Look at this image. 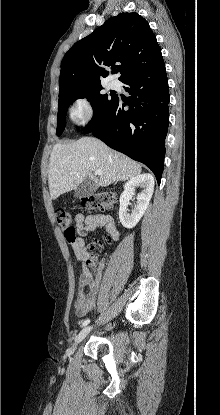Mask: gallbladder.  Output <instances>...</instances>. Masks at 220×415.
<instances>
[{
  "label": "gallbladder",
  "instance_id": "obj_1",
  "mask_svg": "<svg viewBox=\"0 0 220 415\" xmlns=\"http://www.w3.org/2000/svg\"><path fill=\"white\" fill-rule=\"evenodd\" d=\"M97 189L96 183L87 178L76 189L74 196L77 198H84L92 195Z\"/></svg>",
  "mask_w": 220,
  "mask_h": 415
}]
</instances>
